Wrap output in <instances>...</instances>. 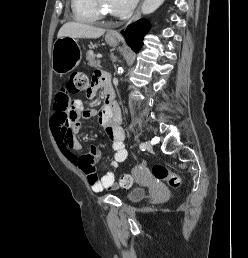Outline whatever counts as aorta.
<instances>
[{
    "label": "aorta",
    "instance_id": "762f6f07",
    "mask_svg": "<svg viewBox=\"0 0 248 258\" xmlns=\"http://www.w3.org/2000/svg\"><path fill=\"white\" fill-rule=\"evenodd\" d=\"M164 0H144L141 10L143 14H150L154 12Z\"/></svg>",
    "mask_w": 248,
    "mask_h": 258
}]
</instances>
